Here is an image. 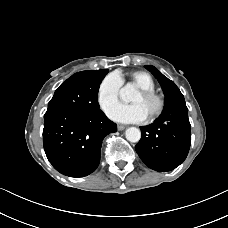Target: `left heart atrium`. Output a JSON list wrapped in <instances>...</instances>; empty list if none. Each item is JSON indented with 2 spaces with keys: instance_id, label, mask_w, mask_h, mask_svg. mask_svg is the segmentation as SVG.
<instances>
[{
  "instance_id": "1",
  "label": "left heart atrium",
  "mask_w": 228,
  "mask_h": 228,
  "mask_svg": "<svg viewBox=\"0 0 228 228\" xmlns=\"http://www.w3.org/2000/svg\"><path fill=\"white\" fill-rule=\"evenodd\" d=\"M106 113L111 120L119 123H139L147 117L139 104L115 103L107 109Z\"/></svg>"
}]
</instances>
